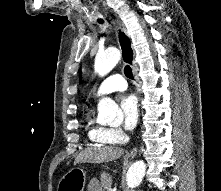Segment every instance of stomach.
<instances>
[{"label":"stomach","mask_w":221,"mask_h":191,"mask_svg":"<svg viewBox=\"0 0 221 191\" xmlns=\"http://www.w3.org/2000/svg\"><path fill=\"white\" fill-rule=\"evenodd\" d=\"M85 183L86 172L79 167H74L60 179L57 191H83Z\"/></svg>","instance_id":"1"}]
</instances>
